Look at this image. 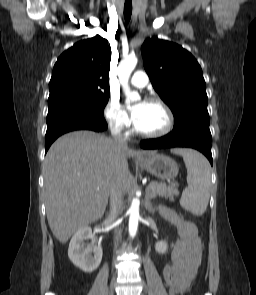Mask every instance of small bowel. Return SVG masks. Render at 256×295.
I'll list each match as a JSON object with an SVG mask.
<instances>
[{"mask_svg": "<svg viewBox=\"0 0 256 295\" xmlns=\"http://www.w3.org/2000/svg\"><path fill=\"white\" fill-rule=\"evenodd\" d=\"M163 219L174 225L180 240L171 254V262L162 270V277L170 295L182 293L190 284L201 260V242L193 223L184 220L169 208H161Z\"/></svg>", "mask_w": 256, "mask_h": 295, "instance_id": "c3829d8e", "label": "small bowel"}]
</instances>
